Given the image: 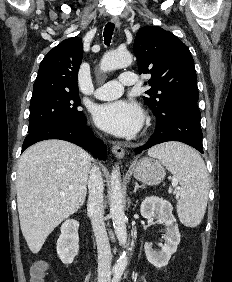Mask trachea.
Returning <instances> with one entry per match:
<instances>
[{"label": "trachea", "mask_w": 232, "mask_h": 282, "mask_svg": "<svg viewBox=\"0 0 232 282\" xmlns=\"http://www.w3.org/2000/svg\"><path fill=\"white\" fill-rule=\"evenodd\" d=\"M114 27L115 25L113 23H107L104 32H103V37H104V42L106 45H109L112 39V35L114 32Z\"/></svg>", "instance_id": "1"}]
</instances>
